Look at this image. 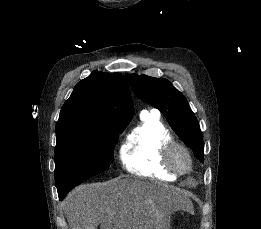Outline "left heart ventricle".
Wrapping results in <instances>:
<instances>
[{
  "instance_id": "b2bd125f",
  "label": "left heart ventricle",
  "mask_w": 261,
  "mask_h": 229,
  "mask_svg": "<svg viewBox=\"0 0 261 229\" xmlns=\"http://www.w3.org/2000/svg\"><path fill=\"white\" fill-rule=\"evenodd\" d=\"M175 162L177 166L184 167L186 165V159L183 153L178 152L175 157Z\"/></svg>"
}]
</instances>
